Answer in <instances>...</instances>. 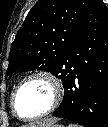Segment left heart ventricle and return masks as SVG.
<instances>
[{"label":"left heart ventricle","instance_id":"b2bd125f","mask_svg":"<svg viewBox=\"0 0 108 127\" xmlns=\"http://www.w3.org/2000/svg\"><path fill=\"white\" fill-rule=\"evenodd\" d=\"M52 100L50 86L41 79L31 80L18 92L15 105L23 117H31L45 111Z\"/></svg>","mask_w":108,"mask_h":127}]
</instances>
